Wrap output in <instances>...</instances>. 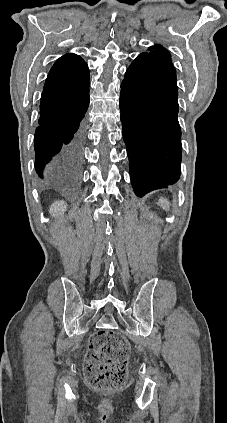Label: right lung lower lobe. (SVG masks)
Listing matches in <instances>:
<instances>
[{"label": "right lung lower lobe", "instance_id": "1", "mask_svg": "<svg viewBox=\"0 0 227 423\" xmlns=\"http://www.w3.org/2000/svg\"><path fill=\"white\" fill-rule=\"evenodd\" d=\"M89 92L68 99L41 97L35 132L36 171L46 188L72 191L79 180Z\"/></svg>", "mask_w": 227, "mask_h": 423}]
</instances>
